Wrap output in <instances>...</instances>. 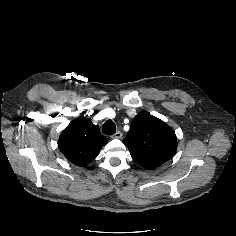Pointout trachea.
Segmentation results:
<instances>
[{
    "mask_svg": "<svg viewBox=\"0 0 236 236\" xmlns=\"http://www.w3.org/2000/svg\"><path fill=\"white\" fill-rule=\"evenodd\" d=\"M102 133L112 135L116 133V125L112 120H107L102 126Z\"/></svg>",
    "mask_w": 236,
    "mask_h": 236,
    "instance_id": "1",
    "label": "trachea"
}]
</instances>
